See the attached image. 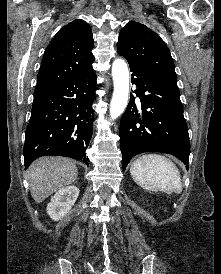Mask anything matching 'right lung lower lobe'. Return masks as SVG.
I'll list each match as a JSON object with an SVG mask.
<instances>
[{"label":"right lung lower lobe","mask_w":221,"mask_h":274,"mask_svg":"<svg viewBox=\"0 0 221 274\" xmlns=\"http://www.w3.org/2000/svg\"><path fill=\"white\" fill-rule=\"evenodd\" d=\"M95 89L93 70L34 92L23 150L25 168L46 155L71 157L88 164L85 150L93 131Z\"/></svg>","instance_id":"1"}]
</instances>
